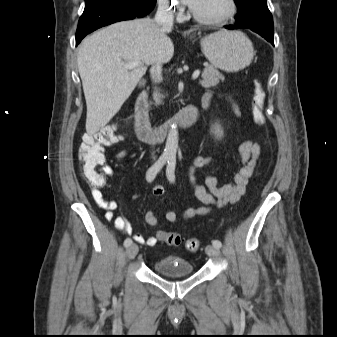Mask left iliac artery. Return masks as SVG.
<instances>
[{
    "mask_svg": "<svg viewBox=\"0 0 337 337\" xmlns=\"http://www.w3.org/2000/svg\"><path fill=\"white\" fill-rule=\"evenodd\" d=\"M175 165H176V158L175 156H170L168 159V165H167V169H166V173H167V178L170 182H174L175 181ZM212 245L214 247L220 248L222 246L221 241L219 240H213L212 241Z\"/></svg>",
    "mask_w": 337,
    "mask_h": 337,
    "instance_id": "left-iliac-artery-1",
    "label": "left iliac artery"
}]
</instances>
